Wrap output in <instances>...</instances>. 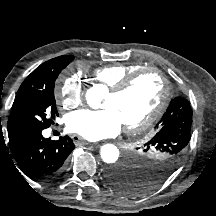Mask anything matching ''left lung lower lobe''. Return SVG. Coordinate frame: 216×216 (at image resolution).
Returning a JSON list of instances; mask_svg holds the SVG:
<instances>
[{
  "mask_svg": "<svg viewBox=\"0 0 216 216\" xmlns=\"http://www.w3.org/2000/svg\"><path fill=\"white\" fill-rule=\"evenodd\" d=\"M135 172L132 168L121 166L107 171V181L120 193L128 196H135L132 180Z\"/></svg>",
  "mask_w": 216,
  "mask_h": 216,
  "instance_id": "obj_1",
  "label": "left lung lower lobe"
}]
</instances>
